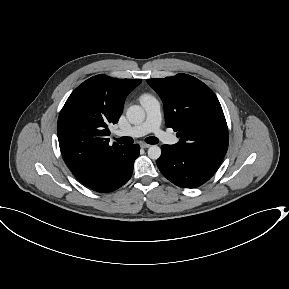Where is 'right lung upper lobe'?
<instances>
[{"mask_svg": "<svg viewBox=\"0 0 289 289\" xmlns=\"http://www.w3.org/2000/svg\"><path fill=\"white\" fill-rule=\"evenodd\" d=\"M141 83L96 75L79 85L63 106L57 124L63 158L84 185L98 182L124 149L109 145L108 124H115L126 96Z\"/></svg>", "mask_w": 289, "mask_h": 289, "instance_id": "1", "label": "right lung upper lobe"}]
</instances>
